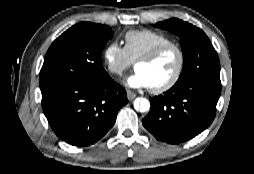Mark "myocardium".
I'll use <instances>...</instances> for the list:
<instances>
[{"label": "myocardium", "mask_w": 254, "mask_h": 174, "mask_svg": "<svg viewBox=\"0 0 254 174\" xmlns=\"http://www.w3.org/2000/svg\"><path fill=\"white\" fill-rule=\"evenodd\" d=\"M168 50L176 51L178 55V65L174 75L168 82L158 87H151V91L155 94H161V93L169 91L177 84V82L181 78V75L183 73L184 66H185V54L182 47L179 44H176L174 42L161 45L153 49L152 51H150L148 54L144 55L140 59H138L136 63V65L138 63H151Z\"/></svg>", "instance_id": "f54148a6"}]
</instances>
